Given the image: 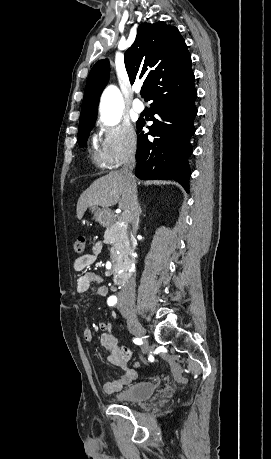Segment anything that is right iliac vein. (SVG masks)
I'll return each mask as SVG.
<instances>
[{
  "label": "right iliac vein",
  "mask_w": 271,
  "mask_h": 459,
  "mask_svg": "<svg viewBox=\"0 0 271 459\" xmlns=\"http://www.w3.org/2000/svg\"><path fill=\"white\" fill-rule=\"evenodd\" d=\"M121 312L125 316L128 326L130 330L138 337L143 338L144 337V328L139 322L136 313L128 308H122L121 307ZM148 344L147 342L144 344V353L147 352L148 350Z\"/></svg>",
  "instance_id": "obj_1"
}]
</instances>
